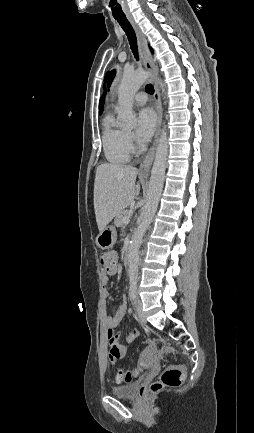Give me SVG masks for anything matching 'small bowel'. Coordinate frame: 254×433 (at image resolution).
I'll use <instances>...</instances> for the list:
<instances>
[{
	"mask_svg": "<svg viewBox=\"0 0 254 433\" xmlns=\"http://www.w3.org/2000/svg\"><path fill=\"white\" fill-rule=\"evenodd\" d=\"M107 283V279H105ZM105 296H108V292L105 291ZM127 312V300L125 297L122 298L119 303L115 313L113 315H104L102 317V326L105 329L106 338L108 341L109 352L108 357L112 365H116L118 360L125 357L127 352V345L134 341L140 334L138 330L131 331L127 336L125 341L120 340V333L114 331V328L119 325L123 317ZM154 356H156V349L154 346L147 348ZM118 382H121L117 379Z\"/></svg>",
	"mask_w": 254,
	"mask_h": 433,
	"instance_id": "c3829d8e",
	"label": "small bowel"
}]
</instances>
